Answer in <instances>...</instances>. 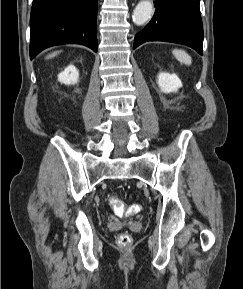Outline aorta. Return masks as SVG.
Returning a JSON list of instances; mask_svg holds the SVG:
<instances>
[{
  "label": "aorta",
  "mask_w": 243,
  "mask_h": 289,
  "mask_svg": "<svg viewBox=\"0 0 243 289\" xmlns=\"http://www.w3.org/2000/svg\"><path fill=\"white\" fill-rule=\"evenodd\" d=\"M153 14V4L150 0L140 1L133 11V21L136 25H143Z\"/></svg>",
  "instance_id": "obj_1"
}]
</instances>
